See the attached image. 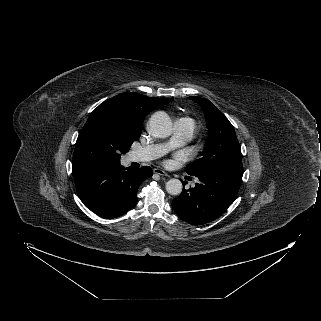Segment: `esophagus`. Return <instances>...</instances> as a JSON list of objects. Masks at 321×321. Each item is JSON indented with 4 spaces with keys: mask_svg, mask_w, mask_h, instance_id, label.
<instances>
[{
    "mask_svg": "<svg viewBox=\"0 0 321 321\" xmlns=\"http://www.w3.org/2000/svg\"><path fill=\"white\" fill-rule=\"evenodd\" d=\"M153 171H154L155 174H158V175H161V176H168V174L162 169L155 168Z\"/></svg>",
    "mask_w": 321,
    "mask_h": 321,
    "instance_id": "esophagus-1",
    "label": "esophagus"
}]
</instances>
